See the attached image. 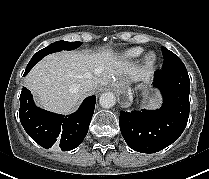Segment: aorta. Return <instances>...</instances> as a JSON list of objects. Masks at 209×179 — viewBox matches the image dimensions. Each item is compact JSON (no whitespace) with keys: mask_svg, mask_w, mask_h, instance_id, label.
<instances>
[{"mask_svg":"<svg viewBox=\"0 0 209 179\" xmlns=\"http://www.w3.org/2000/svg\"><path fill=\"white\" fill-rule=\"evenodd\" d=\"M99 102L103 108L108 109V108H112L115 105L116 98L113 93L105 92L101 94Z\"/></svg>","mask_w":209,"mask_h":179,"instance_id":"aorta-1","label":"aorta"}]
</instances>
